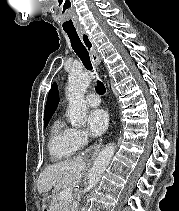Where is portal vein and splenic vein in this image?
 I'll list each match as a JSON object with an SVG mask.
<instances>
[{
	"label": "portal vein and splenic vein",
	"instance_id": "18ae733b",
	"mask_svg": "<svg viewBox=\"0 0 179 211\" xmlns=\"http://www.w3.org/2000/svg\"><path fill=\"white\" fill-rule=\"evenodd\" d=\"M73 195V190L71 188H66L60 193V198L62 200L69 199Z\"/></svg>",
	"mask_w": 179,
	"mask_h": 211
}]
</instances>
